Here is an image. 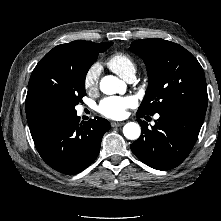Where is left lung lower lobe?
Masks as SVG:
<instances>
[{
    "mask_svg": "<svg viewBox=\"0 0 221 221\" xmlns=\"http://www.w3.org/2000/svg\"><path fill=\"white\" fill-rule=\"evenodd\" d=\"M206 110L176 106L159 113L152 129L140 122L143 132L131 144L132 152L146 165L169 170L180 165L192 150L200 132ZM138 118L143 114L136 113Z\"/></svg>",
    "mask_w": 221,
    "mask_h": 221,
    "instance_id": "left-lung-lower-lobe-1",
    "label": "left lung lower lobe"
}]
</instances>
